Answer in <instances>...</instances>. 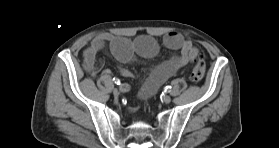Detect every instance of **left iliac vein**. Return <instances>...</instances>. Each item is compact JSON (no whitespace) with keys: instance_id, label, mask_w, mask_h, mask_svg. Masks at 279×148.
<instances>
[{"instance_id":"left-iliac-vein-1","label":"left iliac vein","mask_w":279,"mask_h":148,"mask_svg":"<svg viewBox=\"0 0 279 148\" xmlns=\"http://www.w3.org/2000/svg\"><path fill=\"white\" fill-rule=\"evenodd\" d=\"M163 101H164V103L168 104V103L171 102V97H170V96H165V97L163 98Z\"/></svg>"}]
</instances>
